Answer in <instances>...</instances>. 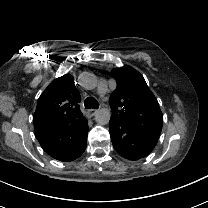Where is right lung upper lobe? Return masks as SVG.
Wrapping results in <instances>:
<instances>
[{"label":"right lung upper lobe","mask_w":208,"mask_h":208,"mask_svg":"<svg viewBox=\"0 0 208 208\" xmlns=\"http://www.w3.org/2000/svg\"><path fill=\"white\" fill-rule=\"evenodd\" d=\"M72 75L52 81L40 95L33 116L35 134L64 129L83 117Z\"/></svg>","instance_id":"obj_1"}]
</instances>
